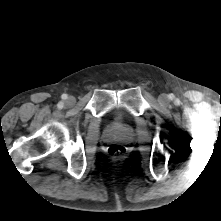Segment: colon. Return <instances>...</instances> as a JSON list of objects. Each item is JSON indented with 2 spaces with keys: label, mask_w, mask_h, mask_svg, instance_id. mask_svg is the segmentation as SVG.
Returning a JSON list of instances; mask_svg holds the SVG:
<instances>
[{
  "label": "colon",
  "mask_w": 221,
  "mask_h": 221,
  "mask_svg": "<svg viewBox=\"0 0 221 221\" xmlns=\"http://www.w3.org/2000/svg\"><path fill=\"white\" fill-rule=\"evenodd\" d=\"M125 152V147L120 144H113L108 148V154L113 158H120Z\"/></svg>",
  "instance_id": "5ec220e1"
}]
</instances>
